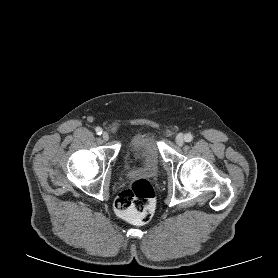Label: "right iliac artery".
<instances>
[{"mask_svg":"<svg viewBox=\"0 0 278 278\" xmlns=\"http://www.w3.org/2000/svg\"><path fill=\"white\" fill-rule=\"evenodd\" d=\"M95 131H96V133H97L98 135H101L102 132H103L102 128H100V127H97V128L95 129Z\"/></svg>","mask_w":278,"mask_h":278,"instance_id":"right-iliac-artery-1","label":"right iliac artery"}]
</instances>
